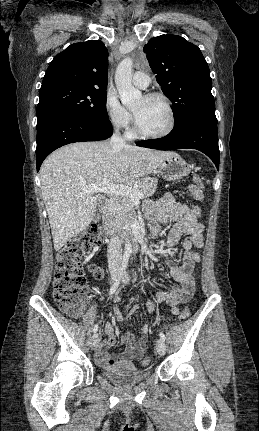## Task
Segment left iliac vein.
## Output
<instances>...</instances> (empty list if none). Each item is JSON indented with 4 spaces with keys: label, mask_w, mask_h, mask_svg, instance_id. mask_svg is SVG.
Returning a JSON list of instances; mask_svg holds the SVG:
<instances>
[{
    "label": "left iliac vein",
    "mask_w": 259,
    "mask_h": 431,
    "mask_svg": "<svg viewBox=\"0 0 259 431\" xmlns=\"http://www.w3.org/2000/svg\"><path fill=\"white\" fill-rule=\"evenodd\" d=\"M129 281V276L127 273H125L124 277H123V283H128ZM156 350L158 352L159 355L163 356L166 352V344L162 339H158L156 341Z\"/></svg>",
    "instance_id": "obj_1"
}]
</instances>
